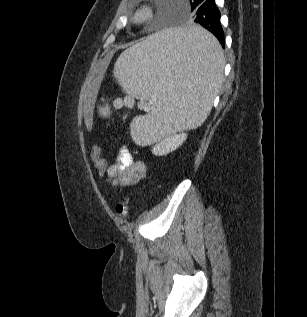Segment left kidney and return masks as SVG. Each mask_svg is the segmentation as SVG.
<instances>
[{
    "label": "left kidney",
    "instance_id": "obj_1",
    "mask_svg": "<svg viewBox=\"0 0 307 317\" xmlns=\"http://www.w3.org/2000/svg\"><path fill=\"white\" fill-rule=\"evenodd\" d=\"M186 138L187 134L184 132L170 135L153 146L152 153L159 156L166 155L181 146Z\"/></svg>",
    "mask_w": 307,
    "mask_h": 317
}]
</instances>
